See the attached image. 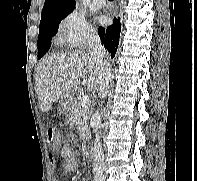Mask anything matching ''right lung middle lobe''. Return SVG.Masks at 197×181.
<instances>
[{
  "mask_svg": "<svg viewBox=\"0 0 197 181\" xmlns=\"http://www.w3.org/2000/svg\"><path fill=\"white\" fill-rule=\"evenodd\" d=\"M71 11L41 17L38 35L39 59L43 57L50 48L52 38L57 33L59 23Z\"/></svg>",
  "mask_w": 197,
  "mask_h": 181,
  "instance_id": "right-lung-middle-lobe-1",
  "label": "right lung middle lobe"
}]
</instances>
